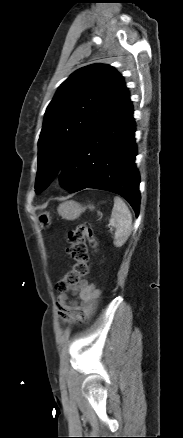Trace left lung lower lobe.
<instances>
[{
	"mask_svg": "<svg viewBox=\"0 0 183 438\" xmlns=\"http://www.w3.org/2000/svg\"><path fill=\"white\" fill-rule=\"evenodd\" d=\"M133 108L128 98L75 149L62 167L61 184L69 192L96 188L117 193L139 213V172Z\"/></svg>",
	"mask_w": 183,
	"mask_h": 438,
	"instance_id": "obj_1",
	"label": "left lung lower lobe"
}]
</instances>
